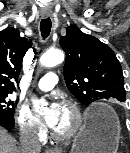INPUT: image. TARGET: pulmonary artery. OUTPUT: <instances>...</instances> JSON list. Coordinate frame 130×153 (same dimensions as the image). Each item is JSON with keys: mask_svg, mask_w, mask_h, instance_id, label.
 Segmentation results:
<instances>
[{"mask_svg": "<svg viewBox=\"0 0 130 153\" xmlns=\"http://www.w3.org/2000/svg\"><path fill=\"white\" fill-rule=\"evenodd\" d=\"M58 77L55 73L45 74L38 82L37 87L41 91L51 90L57 83Z\"/></svg>", "mask_w": 130, "mask_h": 153, "instance_id": "1", "label": "pulmonary artery"}]
</instances>
